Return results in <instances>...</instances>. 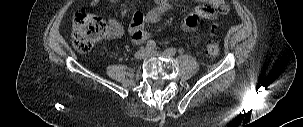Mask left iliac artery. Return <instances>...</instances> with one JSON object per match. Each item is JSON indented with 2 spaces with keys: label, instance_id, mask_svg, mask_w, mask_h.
Returning <instances> with one entry per match:
<instances>
[{
  "label": "left iliac artery",
  "instance_id": "1",
  "mask_svg": "<svg viewBox=\"0 0 303 127\" xmlns=\"http://www.w3.org/2000/svg\"><path fill=\"white\" fill-rule=\"evenodd\" d=\"M177 50L175 48H168L165 50V53L168 56H174L176 54Z\"/></svg>",
  "mask_w": 303,
  "mask_h": 127
}]
</instances>
